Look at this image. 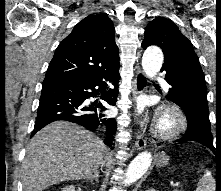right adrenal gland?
<instances>
[{"instance_id":"right-adrenal-gland-1","label":"right adrenal gland","mask_w":221,"mask_h":191,"mask_svg":"<svg viewBox=\"0 0 221 191\" xmlns=\"http://www.w3.org/2000/svg\"><path fill=\"white\" fill-rule=\"evenodd\" d=\"M98 178H99V173L97 172L94 175L88 177L86 180L87 181L89 180L90 182H93V180H95V182L98 183Z\"/></svg>"}]
</instances>
